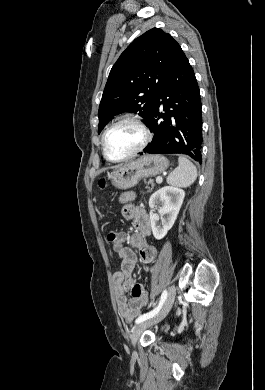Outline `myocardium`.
<instances>
[{
  "label": "myocardium",
  "instance_id": "1",
  "mask_svg": "<svg viewBox=\"0 0 265 390\" xmlns=\"http://www.w3.org/2000/svg\"><path fill=\"white\" fill-rule=\"evenodd\" d=\"M123 123H130V124L136 126L142 134V139H141L139 145L136 148H134L131 152H129L126 156H124L120 159H112L107 153L106 139H107L108 134L110 133V131L113 128H115L116 126L123 124ZM150 140H151V132H150L149 128L147 127V125L144 123V121L140 117L135 116V115H124V116L120 117L119 119H117L116 121H114L103 133L102 140H101L102 153H103L104 158L111 163L125 162V161L133 158L134 156H136L140 152H142L146 148V146L149 144Z\"/></svg>",
  "mask_w": 265,
  "mask_h": 390
}]
</instances>
